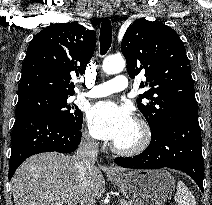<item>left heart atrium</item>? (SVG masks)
<instances>
[{
	"label": "left heart atrium",
	"instance_id": "39dd6f15",
	"mask_svg": "<svg viewBox=\"0 0 212 205\" xmlns=\"http://www.w3.org/2000/svg\"><path fill=\"white\" fill-rule=\"evenodd\" d=\"M90 130L96 138L116 142L134 125L131 111L113 102H100L88 113Z\"/></svg>",
	"mask_w": 212,
	"mask_h": 205
}]
</instances>
